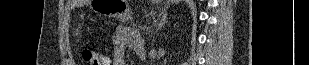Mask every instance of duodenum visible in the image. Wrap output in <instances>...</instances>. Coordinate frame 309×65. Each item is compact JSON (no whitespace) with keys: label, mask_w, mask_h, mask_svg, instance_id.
I'll return each mask as SVG.
<instances>
[{"label":"duodenum","mask_w":309,"mask_h":65,"mask_svg":"<svg viewBox=\"0 0 309 65\" xmlns=\"http://www.w3.org/2000/svg\"><path fill=\"white\" fill-rule=\"evenodd\" d=\"M137 56L140 58V59H144L145 58V50H144V47L140 46L138 47L136 50H135Z\"/></svg>","instance_id":"1"}]
</instances>
